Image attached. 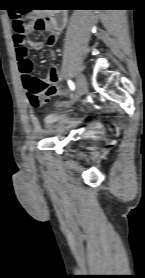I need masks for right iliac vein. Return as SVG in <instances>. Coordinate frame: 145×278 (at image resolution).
<instances>
[{"label":"right iliac vein","instance_id":"63e3f726","mask_svg":"<svg viewBox=\"0 0 145 278\" xmlns=\"http://www.w3.org/2000/svg\"><path fill=\"white\" fill-rule=\"evenodd\" d=\"M76 84H77V91H76V94H75L74 98L72 99L71 103L79 100V98L86 92V79L80 73L76 77ZM70 104H68V105H70Z\"/></svg>","mask_w":145,"mask_h":278}]
</instances>
